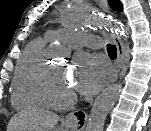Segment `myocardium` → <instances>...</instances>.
<instances>
[{"mask_svg": "<svg viewBox=\"0 0 151 131\" xmlns=\"http://www.w3.org/2000/svg\"><path fill=\"white\" fill-rule=\"evenodd\" d=\"M52 66H46L37 82V93L41 103L47 107L54 109H64L76 102V95L69 94L62 98H54L50 95L48 85L53 75Z\"/></svg>", "mask_w": 151, "mask_h": 131, "instance_id": "obj_1", "label": "myocardium"}]
</instances>
